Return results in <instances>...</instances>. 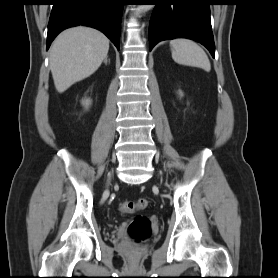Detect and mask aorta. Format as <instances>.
Returning <instances> with one entry per match:
<instances>
[{"instance_id":"762f6f07","label":"aorta","mask_w":278,"mask_h":278,"mask_svg":"<svg viewBox=\"0 0 278 278\" xmlns=\"http://www.w3.org/2000/svg\"><path fill=\"white\" fill-rule=\"evenodd\" d=\"M151 8V5H139V10L141 13L148 11Z\"/></svg>"}]
</instances>
